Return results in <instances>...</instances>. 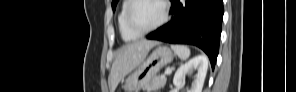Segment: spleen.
Instances as JSON below:
<instances>
[{"label":"spleen","mask_w":296,"mask_h":92,"mask_svg":"<svg viewBox=\"0 0 296 92\" xmlns=\"http://www.w3.org/2000/svg\"><path fill=\"white\" fill-rule=\"evenodd\" d=\"M171 49L181 60H186L190 56V49L187 46L171 45Z\"/></svg>","instance_id":"1"}]
</instances>
